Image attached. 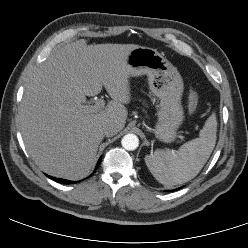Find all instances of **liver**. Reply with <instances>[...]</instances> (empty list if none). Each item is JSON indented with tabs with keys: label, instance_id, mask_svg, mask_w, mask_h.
Segmentation results:
<instances>
[{
	"label": "liver",
	"instance_id": "obj_1",
	"mask_svg": "<svg viewBox=\"0 0 248 248\" xmlns=\"http://www.w3.org/2000/svg\"><path fill=\"white\" fill-rule=\"evenodd\" d=\"M135 44L87 45L78 40L56 49L30 76L22 100L19 125L28 154L45 173L79 180L87 176L103 125L125 126L130 102V68ZM113 99L92 112L81 108L86 96L102 88Z\"/></svg>",
	"mask_w": 248,
	"mask_h": 248
}]
</instances>
